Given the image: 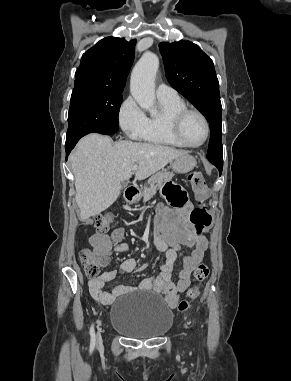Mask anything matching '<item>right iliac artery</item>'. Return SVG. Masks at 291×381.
<instances>
[{"label": "right iliac artery", "instance_id": "right-iliac-artery-1", "mask_svg": "<svg viewBox=\"0 0 291 381\" xmlns=\"http://www.w3.org/2000/svg\"><path fill=\"white\" fill-rule=\"evenodd\" d=\"M90 335H91V345L94 347L95 345V332H94V326L92 325L90 328Z\"/></svg>", "mask_w": 291, "mask_h": 381}]
</instances>
